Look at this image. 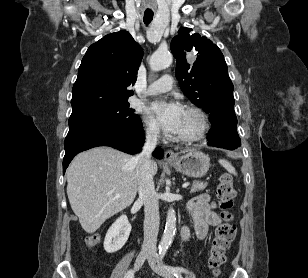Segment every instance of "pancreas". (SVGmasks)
Returning <instances> with one entry per match:
<instances>
[{
    "label": "pancreas",
    "instance_id": "obj_1",
    "mask_svg": "<svg viewBox=\"0 0 308 278\" xmlns=\"http://www.w3.org/2000/svg\"><path fill=\"white\" fill-rule=\"evenodd\" d=\"M206 187H207L206 183L196 181L191 186L190 192L195 193V192L203 191Z\"/></svg>",
    "mask_w": 308,
    "mask_h": 278
}]
</instances>
